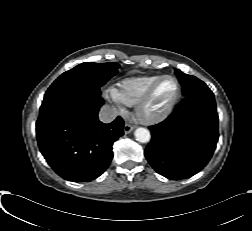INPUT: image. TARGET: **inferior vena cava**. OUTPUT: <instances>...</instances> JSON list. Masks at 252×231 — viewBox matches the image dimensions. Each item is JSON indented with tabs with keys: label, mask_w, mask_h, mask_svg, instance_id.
I'll return each instance as SVG.
<instances>
[{
	"label": "inferior vena cava",
	"mask_w": 252,
	"mask_h": 231,
	"mask_svg": "<svg viewBox=\"0 0 252 231\" xmlns=\"http://www.w3.org/2000/svg\"><path fill=\"white\" fill-rule=\"evenodd\" d=\"M117 117V110L109 105L101 107L99 120L103 123H110Z\"/></svg>",
	"instance_id": "602c4592"
}]
</instances>
